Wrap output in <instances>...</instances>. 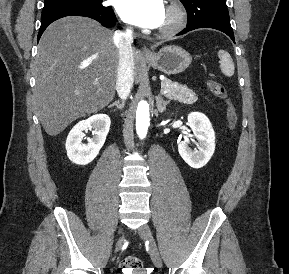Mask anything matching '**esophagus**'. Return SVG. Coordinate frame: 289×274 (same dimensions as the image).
Returning a JSON list of instances; mask_svg holds the SVG:
<instances>
[{
	"label": "esophagus",
	"mask_w": 289,
	"mask_h": 274,
	"mask_svg": "<svg viewBox=\"0 0 289 274\" xmlns=\"http://www.w3.org/2000/svg\"><path fill=\"white\" fill-rule=\"evenodd\" d=\"M141 52L144 56H151L152 55V51L146 46L142 47Z\"/></svg>",
	"instance_id": "esophagus-1"
}]
</instances>
